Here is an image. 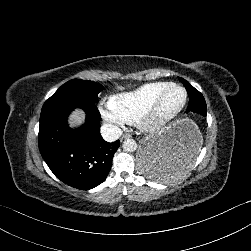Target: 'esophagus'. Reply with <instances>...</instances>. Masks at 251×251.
Returning a JSON list of instances; mask_svg holds the SVG:
<instances>
[{
	"label": "esophagus",
	"instance_id": "esophagus-1",
	"mask_svg": "<svg viewBox=\"0 0 251 251\" xmlns=\"http://www.w3.org/2000/svg\"><path fill=\"white\" fill-rule=\"evenodd\" d=\"M130 137H131V136H130L129 134H125V135L122 136L121 140H122V139H126V138H130Z\"/></svg>",
	"mask_w": 251,
	"mask_h": 251
}]
</instances>
